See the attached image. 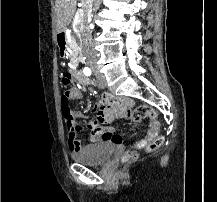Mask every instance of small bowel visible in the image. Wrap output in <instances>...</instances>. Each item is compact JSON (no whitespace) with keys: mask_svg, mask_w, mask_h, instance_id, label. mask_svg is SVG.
Here are the masks:
<instances>
[{"mask_svg":"<svg viewBox=\"0 0 217 202\" xmlns=\"http://www.w3.org/2000/svg\"><path fill=\"white\" fill-rule=\"evenodd\" d=\"M66 90H69V99L80 100L83 96L81 89L77 87V85H66ZM111 97L112 96L110 94L100 95L92 107L95 118L87 122V127L90 130L89 140L91 142L106 140L115 144L123 143L121 136L114 134L111 128H104L103 125L106 122L118 121L119 118L126 117L127 113H130L131 109L133 108V102L109 101ZM108 109L110 113H108ZM73 115L76 118L86 117V114L84 112L79 111L74 112ZM143 121H146L148 123V129L146 131L145 137L140 141L131 144V146L139 149L148 146L149 143L157 138L160 132V123L157 120L152 119ZM80 132H85V127L76 126L74 127V131H69V141H80ZM71 146L81 147V142H72Z\"/></svg>","mask_w":217,"mask_h":202,"instance_id":"obj_1","label":"small bowel"}]
</instances>
